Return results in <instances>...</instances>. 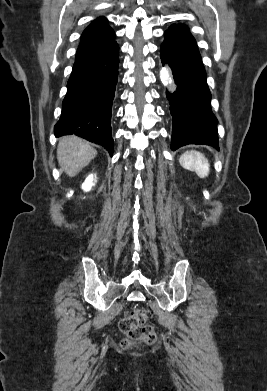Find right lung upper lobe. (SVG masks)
<instances>
[{
  "label": "right lung upper lobe",
  "instance_id": "1",
  "mask_svg": "<svg viewBox=\"0 0 267 391\" xmlns=\"http://www.w3.org/2000/svg\"><path fill=\"white\" fill-rule=\"evenodd\" d=\"M115 42V32L105 18L94 20L82 33L76 58H81L111 46Z\"/></svg>",
  "mask_w": 267,
  "mask_h": 391
}]
</instances>
